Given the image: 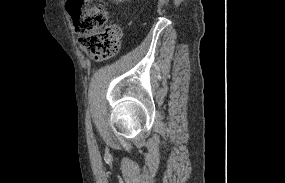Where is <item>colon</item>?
Wrapping results in <instances>:
<instances>
[{
  "mask_svg": "<svg viewBox=\"0 0 285 183\" xmlns=\"http://www.w3.org/2000/svg\"><path fill=\"white\" fill-rule=\"evenodd\" d=\"M89 0H67L66 10L80 35V47L93 59L115 56L120 49L121 28L105 26L107 12L102 5L88 6Z\"/></svg>",
  "mask_w": 285,
  "mask_h": 183,
  "instance_id": "1",
  "label": "colon"
}]
</instances>
